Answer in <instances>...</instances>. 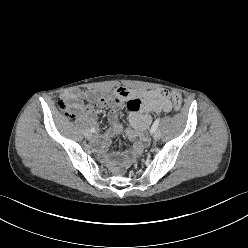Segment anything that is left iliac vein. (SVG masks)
Wrapping results in <instances>:
<instances>
[{"instance_id": "4c4485c4", "label": "left iliac vein", "mask_w": 248, "mask_h": 248, "mask_svg": "<svg viewBox=\"0 0 248 248\" xmlns=\"http://www.w3.org/2000/svg\"><path fill=\"white\" fill-rule=\"evenodd\" d=\"M153 138H154V140H159L161 138V132L159 130H156L153 133Z\"/></svg>"}]
</instances>
